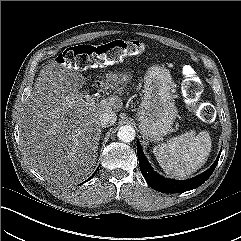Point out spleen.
<instances>
[{"instance_id":"3e777b00","label":"spleen","mask_w":241,"mask_h":241,"mask_svg":"<svg viewBox=\"0 0 241 241\" xmlns=\"http://www.w3.org/2000/svg\"><path fill=\"white\" fill-rule=\"evenodd\" d=\"M211 143L207 131L197 135L190 131L155 146L153 153L167 175L184 178L204 165L211 152Z\"/></svg>"}]
</instances>
